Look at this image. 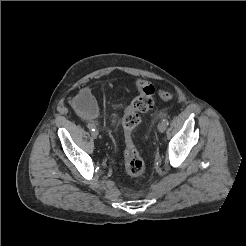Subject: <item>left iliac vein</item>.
<instances>
[{"mask_svg": "<svg viewBox=\"0 0 246 246\" xmlns=\"http://www.w3.org/2000/svg\"><path fill=\"white\" fill-rule=\"evenodd\" d=\"M166 127L162 124V123H159L158 124V130L159 132L163 133L165 131Z\"/></svg>", "mask_w": 246, "mask_h": 246, "instance_id": "1", "label": "left iliac vein"}]
</instances>
